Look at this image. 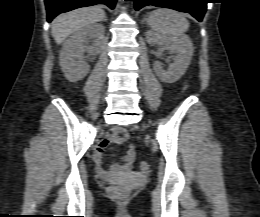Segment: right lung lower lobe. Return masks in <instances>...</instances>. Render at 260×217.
<instances>
[{
	"mask_svg": "<svg viewBox=\"0 0 260 217\" xmlns=\"http://www.w3.org/2000/svg\"><path fill=\"white\" fill-rule=\"evenodd\" d=\"M47 10V21L51 20L60 13L67 12L79 7L105 4L111 9L115 7L116 0H45Z\"/></svg>",
	"mask_w": 260,
	"mask_h": 217,
	"instance_id": "98d812e1",
	"label": "right lung lower lobe"
}]
</instances>
